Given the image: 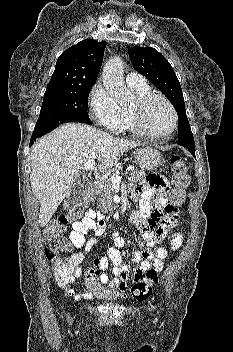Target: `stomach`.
I'll return each mask as SVG.
<instances>
[{"mask_svg": "<svg viewBox=\"0 0 233 352\" xmlns=\"http://www.w3.org/2000/svg\"><path fill=\"white\" fill-rule=\"evenodd\" d=\"M135 160L141 169L154 170L161 165L163 158L158 150L144 147L135 152Z\"/></svg>", "mask_w": 233, "mask_h": 352, "instance_id": "obj_1", "label": "stomach"}]
</instances>
